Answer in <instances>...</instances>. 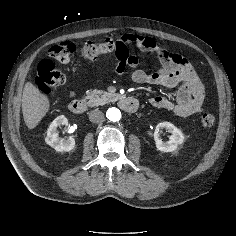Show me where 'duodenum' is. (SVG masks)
<instances>
[{
  "label": "duodenum",
  "instance_id": "1",
  "mask_svg": "<svg viewBox=\"0 0 236 236\" xmlns=\"http://www.w3.org/2000/svg\"><path fill=\"white\" fill-rule=\"evenodd\" d=\"M90 103L84 99H74L71 101L69 108L75 114H82L89 108ZM119 106L122 110L128 113H134L139 107V102L134 97H121Z\"/></svg>",
  "mask_w": 236,
  "mask_h": 236
}]
</instances>
